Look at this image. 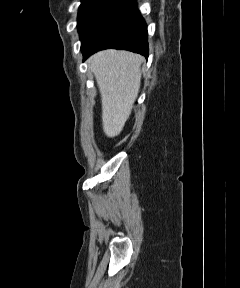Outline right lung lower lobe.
<instances>
[{
  "instance_id": "98d812e1",
  "label": "right lung lower lobe",
  "mask_w": 240,
  "mask_h": 288,
  "mask_svg": "<svg viewBox=\"0 0 240 288\" xmlns=\"http://www.w3.org/2000/svg\"><path fill=\"white\" fill-rule=\"evenodd\" d=\"M148 32L134 0H122L83 46V60L107 48L124 49L148 57Z\"/></svg>"
}]
</instances>
